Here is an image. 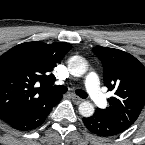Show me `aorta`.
<instances>
[{"label":"aorta","instance_id":"aorta-1","mask_svg":"<svg viewBox=\"0 0 145 145\" xmlns=\"http://www.w3.org/2000/svg\"><path fill=\"white\" fill-rule=\"evenodd\" d=\"M86 68V62L80 56H73L68 61V69L73 76H82L86 72ZM78 109L83 117H90L94 114V106L88 101L82 102Z\"/></svg>","mask_w":145,"mask_h":145}]
</instances>
